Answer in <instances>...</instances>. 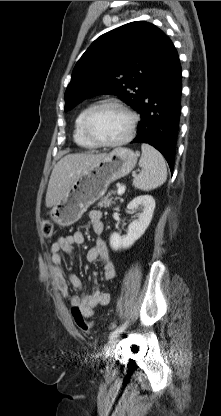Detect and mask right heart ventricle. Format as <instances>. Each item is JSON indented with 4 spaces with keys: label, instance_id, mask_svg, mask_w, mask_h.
I'll list each match as a JSON object with an SVG mask.
<instances>
[{
    "label": "right heart ventricle",
    "instance_id": "e07e8e85",
    "mask_svg": "<svg viewBox=\"0 0 221 416\" xmlns=\"http://www.w3.org/2000/svg\"><path fill=\"white\" fill-rule=\"evenodd\" d=\"M94 106V104H88L83 107L78 115L76 116L75 123H74V133L73 138L74 141L81 147L84 148H94L96 145L92 143L84 134L83 131V120L87 112Z\"/></svg>",
    "mask_w": 221,
    "mask_h": 416
}]
</instances>
